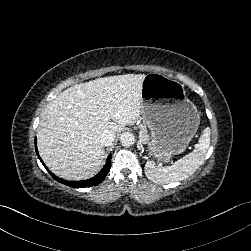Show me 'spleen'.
<instances>
[{"label": "spleen", "instance_id": "spleen-1", "mask_svg": "<svg viewBox=\"0 0 251 251\" xmlns=\"http://www.w3.org/2000/svg\"><path fill=\"white\" fill-rule=\"evenodd\" d=\"M211 129L207 127L199 137L194 151L178 159L174 166L157 167L154 160L146 163L145 174L154 182L169 183L190 177L203 163L210 146Z\"/></svg>", "mask_w": 251, "mask_h": 251}]
</instances>
